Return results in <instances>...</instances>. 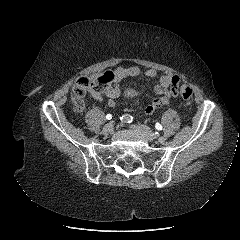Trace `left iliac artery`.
Returning <instances> with one entry per match:
<instances>
[{
	"label": "left iliac artery",
	"mask_w": 240,
	"mask_h": 240,
	"mask_svg": "<svg viewBox=\"0 0 240 240\" xmlns=\"http://www.w3.org/2000/svg\"><path fill=\"white\" fill-rule=\"evenodd\" d=\"M166 135H167L166 132L163 131V132H161V134L158 135V138L159 139L165 138Z\"/></svg>",
	"instance_id": "44dca946"
}]
</instances>
